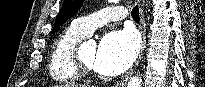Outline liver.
<instances>
[{
    "label": "liver",
    "instance_id": "1",
    "mask_svg": "<svg viewBox=\"0 0 205 87\" xmlns=\"http://www.w3.org/2000/svg\"><path fill=\"white\" fill-rule=\"evenodd\" d=\"M59 87H86V86H83L81 84H66V85H61Z\"/></svg>",
    "mask_w": 205,
    "mask_h": 87
}]
</instances>
